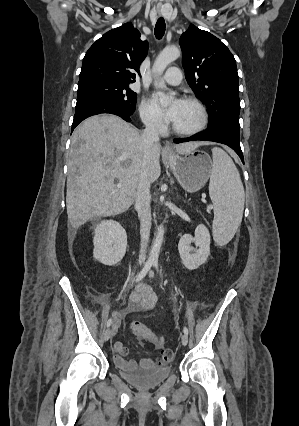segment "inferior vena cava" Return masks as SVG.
<instances>
[{
  "instance_id": "obj_1",
  "label": "inferior vena cava",
  "mask_w": 299,
  "mask_h": 426,
  "mask_svg": "<svg viewBox=\"0 0 299 426\" xmlns=\"http://www.w3.org/2000/svg\"><path fill=\"white\" fill-rule=\"evenodd\" d=\"M145 130L142 137L147 149V153L143 160L141 178L137 188L135 198V209L140 218V252L139 263L142 264L146 259V249L149 242L150 229H151V182L149 180V165H150V151L151 148L159 143V123L156 120H145Z\"/></svg>"
}]
</instances>
